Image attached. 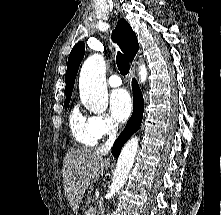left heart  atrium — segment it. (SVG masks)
Masks as SVG:
<instances>
[{"mask_svg":"<svg viewBox=\"0 0 221 215\" xmlns=\"http://www.w3.org/2000/svg\"><path fill=\"white\" fill-rule=\"evenodd\" d=\"M110 111L117 122H125L132 112V101L125 89H117L110 96Z\"/></svg>","mask_w":221,"mask_h":215,"instance_id":"1","label":"left heart atrium"}]
</instances>
